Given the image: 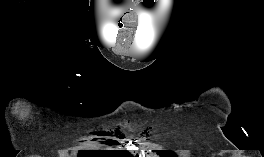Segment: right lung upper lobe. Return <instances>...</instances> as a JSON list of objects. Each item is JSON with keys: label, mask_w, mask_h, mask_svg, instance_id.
I'll list each match as a JSON object with an SVG mask.
<instances>
[{"label": "right lung upper lobe", "mask_w": 264, "mask_h": 157, "mask_svg": "<svg viewBox=\"0 0 264 157\" xmlns=\"http://www.w3.org/2000/svg\"><path fill=\"white\" fill-rule=\"evenodd\" d=\"M97 156H104V157H132L127 151L125 150H116V151H101V152H97V154H95ZM86 156L85 153L80 152L78 157H84ZM135 157H138V155H136Z\"/></svg>", "instance_id": "right-lung-upper-lobe-1"}]
</instances>
